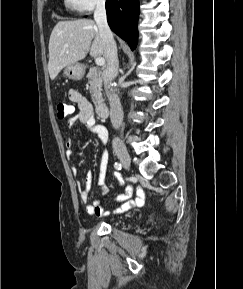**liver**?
I'll use <instances>...</instances> for the list:
<instances>
[{
    "label": "liver",
    "instance_id": "6515ba94",
    "mask_svg": "<svg viewBox=\"0 0 243 289\" xmlns=\"http://www.w3.org/2000/svg\"><path fill=\"white\" fill-rule=\"evenodd\" d=\"M88 52L92 57L104 55V44L95 22L91 19L59 21L49 40L48 71L51 80L66 66L84 59Z\"/></svg>",
    "mask_w": 243,
    "mask_h": 289
}]
</instances>
